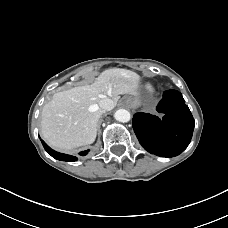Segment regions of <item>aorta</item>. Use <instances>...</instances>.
<instances>
[{"instance_id": "obj_1", "label": "aorta", "mask_w": 228, "mask_h": 228, "mask_svg": "<svg viewBox=\"0 0 228 228\" xmlns=\"http://www.w3.org/2000/svg\"><path fill=\"white\" fill-rule=\"evenodd\" d=\"M114 118L119 122H128L130 121V112L126 109H119L115 112Z\"/></svg>"}]
</instances>
